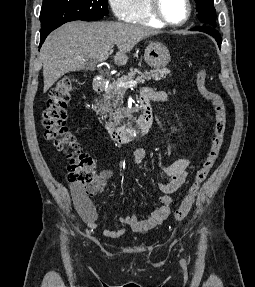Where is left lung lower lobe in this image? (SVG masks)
Wrapping results in <instances>:
<instances>
[{"mask_svg": "<svg viewBox=\"0 0 255 287\" xmlns=\"http://www.w3.org/2000/svg\"><path fill=\"white\" fill-rule=\"evenodd\" d=\"M191 30L192 31L205 32V33L213 36L216 39L218 46L221 47L222 38H221L219 32L217 30H215L213 28V26L212 27H195V28H192Z\"/></svg>", "mask_w": 255, "mask_h": 287, "instance_id": "left-lung-lower-lobe-1", "label": "left lung lower lobe"}]
</instances>
